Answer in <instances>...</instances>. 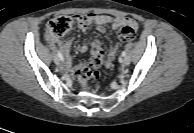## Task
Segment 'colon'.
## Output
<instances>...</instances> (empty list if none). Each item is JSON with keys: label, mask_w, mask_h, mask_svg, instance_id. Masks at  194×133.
I'll use <instances>...</instances> for the list:
<instances>
[{"label": "colon", "mask_w": 194, "mask_h": 133, "mask_svg": "<svg viewBox=\"0 0 194 133\" xmlns=\"http://www.w3.org/2000/svg\"><path fill=\"white\" fill-rule=\"evenodd\" d=\"M72 25V19L68 16H59L50 20L46 26L47 35L58 38L66 34ZM136 31L132 27H124L119 33V39L125 42L133 41ZM103 62V50L100 46H94L91 50V58L87 63L80 64L74 69V77L81 83L89 78H98L99 68Z\"/></svg>", "instance_id": "colon-1"}]
</instances>
